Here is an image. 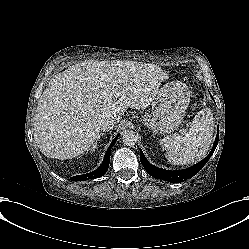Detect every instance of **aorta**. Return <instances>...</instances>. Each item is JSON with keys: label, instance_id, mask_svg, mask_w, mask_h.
<instances>
[{"label": "aorta", "instance_id": "1", "mask_svg": "<svg viewBox=\"0 0 249 249\" xmlns=\"http://www.w3.org/2000/svg\"><path fill=\"white\" fill-rule=\"evenodd\" d=\"M138 141L137 134L132 130H125L122 134V142L125 146L132 147Z\"/></svg>", "mask_w": 249, "mask_h": 249}]
</instances>
